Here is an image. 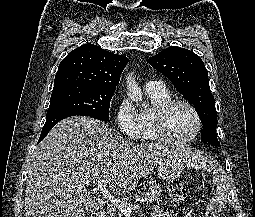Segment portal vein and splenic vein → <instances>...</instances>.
I'll list each match as a JSON object with an SVG mask.
<instances>
[{
  "label": "portal vein and splenic vein",
  "instance_id": "portal-vein-and-splenic-vein-1",
  "mask_svg": "<svg viewBox=\"0 0 255 217\" xmlns=\"http://www.w3.org/2000/svg\"><path fill=\"white\" fill-rule=\"evenodd\" d=\"M85 184L89 185L90 181L88 179H84ZM107 180L101 179L98 181V190L102 194L104 198H106L111 205L115 206L120 212L123 214H131L134 208H138L139 205H131L126 201L115 198L110 191L106 188ZM144 202V201H143Z\"/></svg>",
  "mask_w": 255,
  "mask_h": 217
}]
</instances>
